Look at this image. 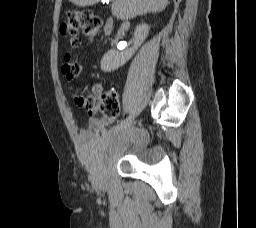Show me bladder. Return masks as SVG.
Here are the masks:
<instances>
[{
    "label": "bladder",
    "instance_id": "obj_1",
    "mask_svg": "<svg viewBox=\"0 0 256 228\" xmlns=\"http://www.w3.org/2000/svg\"><path fill=\"white\" fill-rule=\"evenodd\" d=\"M144 143L145 139L140 134L115 127L99 137L82 136L80 146L91 171L102 175L108 166L136 153Z\"/></svg>",
    "mask_w": 256,
    "mask_h": 228
}]
</instances>
